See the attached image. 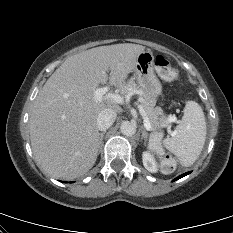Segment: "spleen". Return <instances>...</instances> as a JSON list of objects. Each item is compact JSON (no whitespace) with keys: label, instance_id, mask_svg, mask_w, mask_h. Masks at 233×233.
<instances>
[{"label":"spleen","instance_id":"obj_1","mask_svg":"<svg viewBox=\"0 0 233 233\" xmlns=\"http://www.w3.org/2000/svg\"><path fill=\"white\" fill-rule=\"evenodd\" d=\"M206 140V121L201 106L195 101H187L184 115L175 129L173 137L165 138L162 146L174 154L180 164L185 167L193 165L202 152ZM151 150L161 154L160 144L153 135H150L149 146ZM173 160H162L165 174L171 173L174 167Z\"/></svg>","mask_w":233,"mask_h":233}]
</instances>
